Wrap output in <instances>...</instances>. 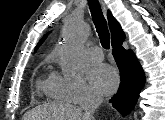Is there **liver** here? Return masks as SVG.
I'll return each mask as SVG.
<instances>
[{"label": "liver", "instance_id": "liver-1", "mask_svg": "<svg viewBox=\"0 0 165 120\" xmlns=\"http://www.w3.org/2000/svg\"><path fill=\"white\" fill-rule=\"evenodd\" d=\"M44 118H56L57 120H83L80 108L71 104L62 103L33 109L25 114L23 120H44Z\"/></svg>", "mask_w": 165, "mask_h": 120}]
</instances>
